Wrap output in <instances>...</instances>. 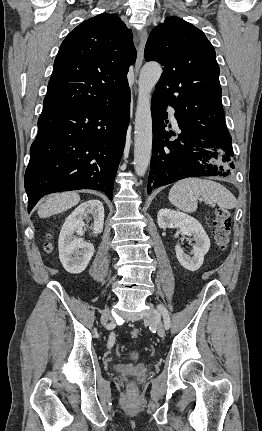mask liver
Instances as JSON below:
<instances>
[{
  "mask_svg": "<svg viewBox=\"0 0 262 431\" xmlns=\"http://www.w3.org/2000/svg\"><path fill=\"white\" fill-rule=\"evenodd\" d=\"M80 201V196L77 192H63L50 196L38 209L40 218H47L55 214L64 212Z\"/></svg>",
  "mask_w": 262,
  "mask_h": 431,
  "instance_id": "liver-1",
  "label": "liver"
}]
</instances>
